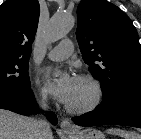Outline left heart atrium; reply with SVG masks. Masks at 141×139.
I'll return each instance as SVG.
<instances>
[{"label":"left heart atrium","mask_w":141,"mask_h":139,"mask_svg":"<svg viewBox=\"0 0 141 139\" xmlns=\"http://www.w3.org/2000/svg\"><path fill=\"white\" fill-rule=\"evenodd\" d=\"M42 77L48 92L59 101L68 103L76 78L69 72H55L49 68L43 71Z\"/></svg>","instance_id":"39dd6f15"}]
</instances>
